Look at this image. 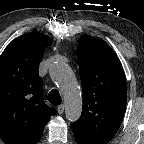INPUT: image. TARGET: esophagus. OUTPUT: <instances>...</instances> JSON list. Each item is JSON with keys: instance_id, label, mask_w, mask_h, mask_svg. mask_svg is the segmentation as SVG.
Masks as SVG:
<instances>
[{"instance_id": "1", "label": "esophagus", "mask_w": 144, "mask_h": 144, "mask_svg": "<svg viewBox=\"0 0 144 144\" xmlns=\"http://www.w3.org/2000/svg\"><path fill=\"white\" fill-rule=\"evenodd\" d=\"M64 110H65L64 104L59 105L57 108V111L60 115L63 114Z\"/></svg>"}]
</instances>
